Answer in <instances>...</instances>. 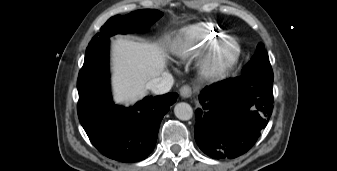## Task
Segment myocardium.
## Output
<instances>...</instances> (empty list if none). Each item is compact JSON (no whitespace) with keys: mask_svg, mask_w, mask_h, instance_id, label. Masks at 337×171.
<instances>
[{"mask_svg":"<svg viewBox=\"0 0 337 171\" xmlns=\"http://www.w3.org/2000/svg\"><path fill=\"white\" fill-rule=\"evenodd\" d=\"M225 47H230V55L220 60L219 52ZM241 56L240 42L231 36L219 39L212 43L201 55L198 65L200 74L208 79H221L225 77L238 63Z\"/></svg>","mask_w":337,"mask_h":171,"instance_id":"myocardium-1","label":"myocardium"}]
</instances>
